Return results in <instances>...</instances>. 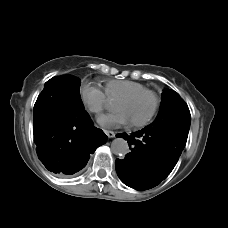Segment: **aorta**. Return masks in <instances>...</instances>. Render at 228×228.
<instances>
[{
	"mask_svg": "<svg viewBox=\"0 0 228 228\" xmlns=\"http://www.w3.org/2000/svg\"><path fill=\"white\" fill-rule=\"evenodd\" d=\"M111 150L115 155L125 156L130 152L128 142L123 138H116L111 143Z\"/></svg>",
	"mask_w": 228,
	"mask_h": 228,
	"instance_id": "762f6f07",
	"label": "aorta"
}]
</instances>
